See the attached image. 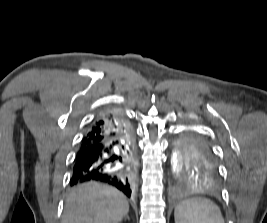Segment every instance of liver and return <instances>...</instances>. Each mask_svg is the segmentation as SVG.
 I'll list each match as a JSON object with an SVG mask.
<instances>
[{"instance_id": "6515ba94", "label": "liver", "mask_w": 267, "mask_h": 223, "mask_svg": "<svg viewBox=\"0 0 267 223\" xmlns=\"http://www.w3.org/2000/svg\"><path fill=\"white\" fill-rule=\"evenodd\" d=\"M128 211L129 204L121 192L90 182L70 192L62 223H119Z\"/></svg>"}]
</instances>
